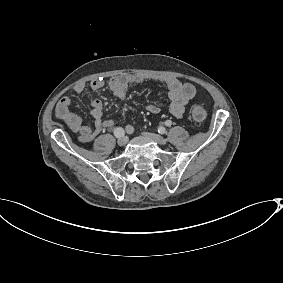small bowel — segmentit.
<instances>
[{"mask_svg":"<svg viewBox=\"0 0 283 283\" xmlns=\"http://www.w3.org/2000/svg\"><path fill=\"white\" fill-rule=\"evenodd\" d=\"M147 78L141 74L122 73L113 76L108 86L113 95L119 99H124L127 90L130 86L143 83ZM168 92L169 98V112L176 118H181L185 112V108L190 100L196 94V88L193 84L182 82L176 77H165L159 79ZM104 86L102 79H95L90 83V89L97 91ZM86 88L85 83H78L74 90L76 93H82ZM90 115L93 118V126L83 123L80 116L71 111V100L69 97H62L55 109L56 117L61 120L69 129L79 133V138L82 142H90L95 136L105 129H113L115 122L112 119H105L103 117V104L99 99L90 101ZM146 110L151 114H158L160 112L159 106L156 104H148ZM124 129L128 134L133 133L134 128L131 124L124 125Z\"/></svg>","mask_w":283,"mask_h":283,"instance_id":"1","label":"small bowel"}]
</instances>
